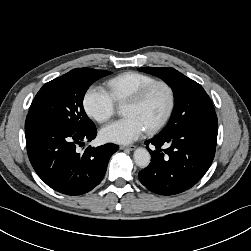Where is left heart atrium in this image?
Returning <instances> with one entry per match:
<instances>
[{
	"instance_id": "left-heart-atrium-1",
	"label": "left heart atrium",
	"mask_w": 251,
	"mask_h": 251,
	"mask_svg": "<svg viewBox=\"0 0 251 251\" xmlns=\"http://www.w3.org/2000/svg\"><path fill=\"white\" fill-rule=\"evenodd\" d=\"M146 130L139 118L126 116L103 127L100 137L105 142L129 144L140 138Z\"/></svg>"
}]
</instances>
